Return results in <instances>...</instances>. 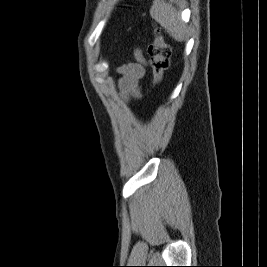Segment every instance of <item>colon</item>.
<instances>
[{
	"label": "colon",
	"instance_id": "1",
	"mask_svg": "<svg viewBox=\"0 0 267 267\" xmlns=\"http://www.w3.org/2000/svg\"><path fill=\"white\" fill-rule=\"evenodd\" d=\"M148 54L153 70L154 84L159 85L163 80L164 73L169 68L171 57V46L165 41L159 31L148 47Z\"/></svg>",
	"mask_w": 267,
	"mask_h": 267
}]
</instances>
